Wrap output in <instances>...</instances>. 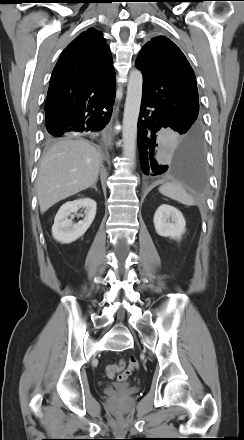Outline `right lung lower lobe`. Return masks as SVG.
Wrapping results in <instances>:
<instances>
[{"label":"right lung lower lobe","mask_w":244,"mask_h":440,"mask_svg":"<svg viewBox=\"0 0 244 440\" xmlns=\"http://www.w3.org/2000/svg\"><path fill=\"white\" fill-rule=\"evenodd\" d=\"M115 95L109 99L104 107L89 114H77L70 117L46 119L47 131L54 137L66 136L71 132L99 131L109 122L114 104ZM106 110V111H103Z\"/></svg>","instance_id":"obj_1"}]
</instances>
